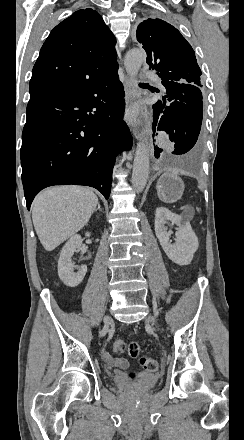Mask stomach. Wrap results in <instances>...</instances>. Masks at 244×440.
I'll use <instances>...</instances> for the list:
<instances>
[{"mask_svg":"<svg viewBox=\"0 0 244 440\" xmlns=\"http://www.w3.org/2000/svg\"><path fill=\"white\" fill-rule=\"evenodd\" d=\"M156 190L161 202L173 204V202L181 200L185 186L178 174H174V172H164L157 182Z\"/></svg>","mask_w":244,"mask_h":440,"instance_id":"obj_1","label":"stomach"}]
</instances>
